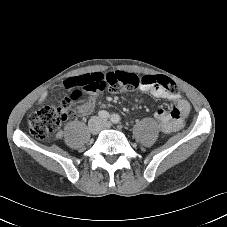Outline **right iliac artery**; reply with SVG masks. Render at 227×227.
Segmentation results:
<instances>
[{
    "instance_id": "82829eb1",
    "label": "right iliac artery",
    "mask_w": 227,
    "mask_h": 227,
    "mask_svg": "<svg viewBox=\"0 0 227 227\" xmlns=\"http://www.w3.org/2000/svg\"><path fill=\"white\" fill-rule=\"evenodd\" d=\"M98 116L102 119H108L110 117V114L107 111L102 110L98 112Z\"/></svg>"
}]
</instances>
